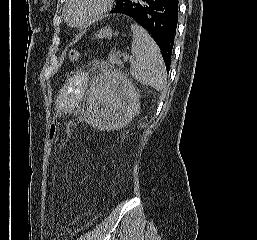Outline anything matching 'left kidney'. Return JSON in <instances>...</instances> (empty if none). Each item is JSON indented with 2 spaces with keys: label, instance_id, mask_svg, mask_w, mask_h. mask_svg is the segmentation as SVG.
I'll return each mask as SVG.
<instances>
[{
  "label": "left kidney",
  "instance_id": "left-kidney-1",
  "mask_svg": "<svg viewBox=\"0 0 257 240\" xmlns=\"http://www.w3.org/2000/svg\"><path fill=\"white\" fill-rule=\"evenodd\" d=\"M139 94L121 72L99 75L89 96V123L98 130L125 127L139 112Z\"/></svg>",
  "mask_w": 257,
  "mask_h": 240
}]
</instances>
